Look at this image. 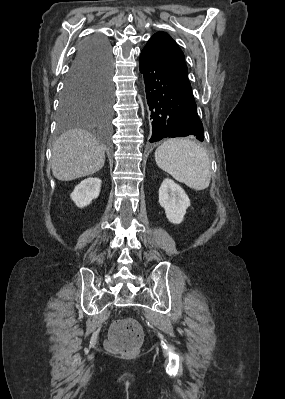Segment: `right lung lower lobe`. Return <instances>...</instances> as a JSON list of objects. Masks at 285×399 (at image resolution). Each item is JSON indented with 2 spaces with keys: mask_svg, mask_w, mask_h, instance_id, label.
<instances>
[{
  "mask_svg": "<svg viewBox=\"0 0 285 399\" xmlns=\"http://www.w3.org/2000/svg\"><path fill=\"white\" fill-rule=\"evenodd\" d=\"M111 60L108 40L103 35L94 34L79 46L70 71L100 66L110 70Z\"/></svg>",
  "mask_w": 285,
  "mask_h": 399,
  "instance_id": "1",
  "label": "right lung lower lobe"
}]
</instances>
